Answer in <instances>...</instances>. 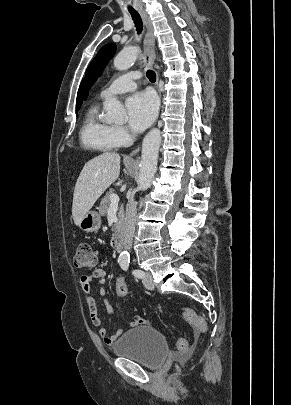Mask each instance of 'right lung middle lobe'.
Masks as SVG:
<instances>
[{"label":"right lung middle lobe","instance_id":"right-lung-middle-lobe-1","mask_svg":"<svg viewBox=\"0 0 291 405\" xmlns=\"http://www.w3.org/2000/svg\"><path fill=\"white\" fill-rule=\"evenodd\" d=\"M79 110V108H76V111H78Z\"/></svg>","mask_w":291,"mask_h":405}]
</instances>
